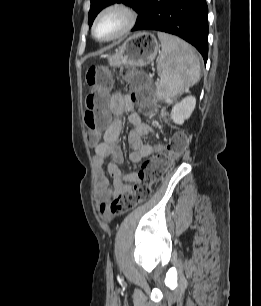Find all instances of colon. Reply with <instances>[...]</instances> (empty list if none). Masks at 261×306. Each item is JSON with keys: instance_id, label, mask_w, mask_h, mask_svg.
<instances>
[{"instance_id": "colon-1", "label": "colon", "mask_w": 261, "mask_h": 306, "mask_svg": "<svg viewBox=\"0 0 261 306\" xmlns=\"http://www.w3.org/2000/svg\"><path fill=\"white\" fill-rule=\"evenodd\" d=\"M124 75L131 100L148 111L154 95L146 77L133 68H126ZM86 80L89 91L85 102L84 122L87 132L95 139L108 126L106 108L112 77L106 67L91 66L86 73ZM186 146L187 136L180 131L174 133L163 150L142 162L132 191L119 194L110 203L109 213L125 214L137 204L147 200L151 195L152 186L163 178L167 170L183 154Z\"/></svg>"}]
</instances>
